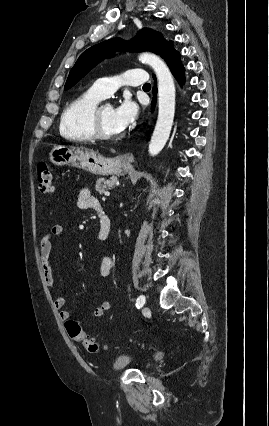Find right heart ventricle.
<instances>
[{
    "mask_svg": "<svg viewBox=\"0 0 269 426\" xmlns=\"http://www.w3.org/2000/svg\"><path fill=\"white\" fill-rule=\"evenodd\" d=\"M101 100L102 98L90 89L70 102L61 116L60 134L78 142L92 141L94 136L91 115Z\"/></svg>",
    "mask_w": 269,
    "mask_h": 426,
    "instance_id": "e07e8e85",
    "label": "right heart ventricle"
}]
</instances>
